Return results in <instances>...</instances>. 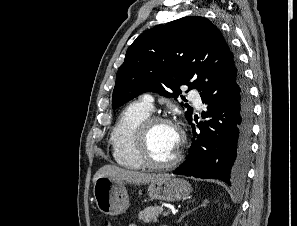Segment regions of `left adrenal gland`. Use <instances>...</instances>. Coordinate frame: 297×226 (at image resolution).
<instances>
[{
  "label": "left adrenal gland",
  "instance_id": "1",
  "mask_svg": "<svg viewBox=\"0 0 297 226\" xmlns=\"http://www.w3.org/2000/svg\"><path fill=\"white\" fill-rule=\"evenodd\" d=\"M192 202H193V201H192ZM207 203H208V200H204V201L201 203V205H199L198 207L194 208V209L191 210V211H188V212L184 213V214L180 217L179 222H180L186 215L190 214L192 211H194V210H196V209H198V208H200V207L206 206Z\"/></svg>",
  "mask_w": 297,
  "mask_h": 226
}]
</instances>
